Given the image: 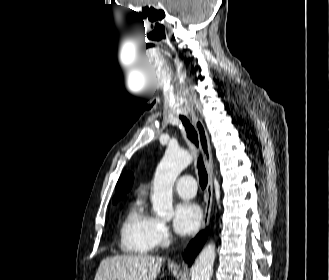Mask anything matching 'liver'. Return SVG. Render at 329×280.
I'll use <instances>...</instances> for the list:
<instances>
[{"instance_id":"6515ba94","label":"liver","mask_w":329,"mask_h":280,"mask_svg":"<svg viewBox=\"0 0 329 280\" xmlns=\"http://www.w3.org/2000/svg\"><path fill=\"white\" fill-rule=\"evenodd\" d=\"M163 259L149 255H117L103 259L94 280H155Z\"/></svg>"}]
</instances>
